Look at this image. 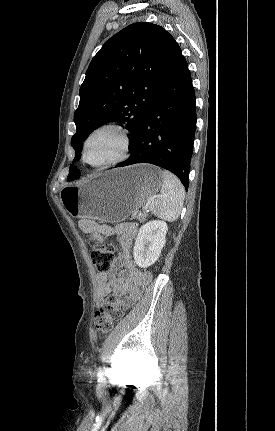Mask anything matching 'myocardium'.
<instances>
[{"instance_id": "1", "label": "myocardium", "mask_w": 275, "mask_h": 431, "mask_svg": "<svg viewBox=\"0 0 275 431\" xmlns=\"http://www.w3.org/2000/svg\"><path fill=\"white\" fill-rule=\"evenodd\" d=\"M103 131H113L117 133L121 140V148L118 155L112 158L111 160L94 164L89 162L87 159L88 144L90 143V141L94 136H96L97 134ZM130 149H131V139H130L128 130L118 122H115V121L106 122L94 128L85 138L82 146V160L85 164L93 168H108L124 162L129 156Z\"/></svg>"}]
</instances>
